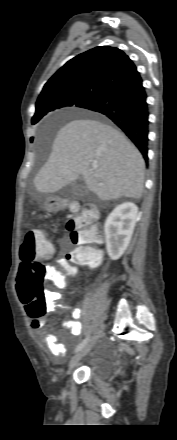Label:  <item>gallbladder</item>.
Segmentation results:
<instances>
[{
	"label": "gallbladder",
	"instance_id": "gallbladder-1",
	"mask_svg": "<svg viewBox=\"0 0 177 440\" xmlns=\"http://www.w3.org/2000/svg\"><path fill=\"white\" fill-rule=\"evenodd\" d=\"M86 190V187L83 184H78L74 186V193L76 195L82 194Z\"/></svg>",
	"mask_w": 177,
	"mask_h": 440
}]
</instances>
